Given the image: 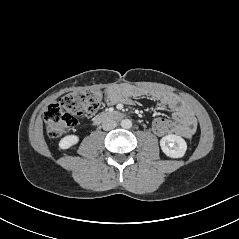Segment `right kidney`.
Here are the masks:
<instances>
[{
    "label": "right kidney",
    "mask_w": 239,
    "mask_h": 239,
    "mask_svg": "<svg viewBox=\"0 0 239 239\" xmlns=\"http://www.w3.org/2000/svg\"><path fill=\"white\" fill-rule=\"evenodd\" d=\"M79 142V137L77 135H67L63 137L59 142V148L60 149H69L73 145L77 144Z\"/></svg>",
    "instance_id": "obj_1"
}]
</instances>
